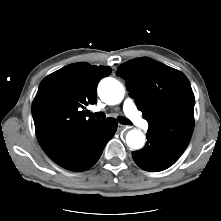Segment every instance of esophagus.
I'll use <instances>...</instances> for the list:
<instances>
[{
    "label": "esophagus",
    "instance_id": "obj_1",
    "mask_svg": "<svg viewBox=\"0 0 221 221\" xmlns=\"http://www.w3.org/2000/svg\"><path fill=\"white\" fill-rule=\"evenodd\" d=\"M129 127H127V126H124V125H122V124H118V127H117V129L118 130H126V129H128Z\"/></svg>",
    "mask_w": 221,
    "mask_h": 221
}]
</instances>
